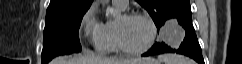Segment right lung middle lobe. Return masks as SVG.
<instances>
[{"label":"right lung middle lobe","instance_id":"obj_1","mask_svg":"<svg viewBox=\"0 0 242 64\" xmlns=\"http://www.w3.org/2000/svg\"><path fill=\"white\" fill-rule=\"evenodd\" d=\"M85 13L46 17L41 64L58 55L81 51L78 33Z\"/></svg>","mask_w":242,"mask_h":64}]
</instances>
